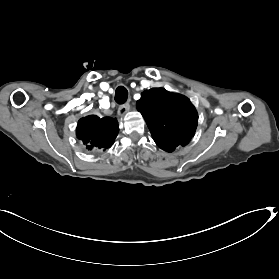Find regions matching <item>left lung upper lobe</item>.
Instances as JSON below:
<instances>
[{"label":"left lung upper lobe","mask_w":279,"mask_h":279,"mask_svg":"<svg viewBox=\"0 0 279 279\" xmlns=\"http://www.w3.org/2000/svg\"><path fill=\"white\" fill-rule=\"evenodd\" d=\"M137 110L143 115L155 143L172 152L185 146L194 136L198 114L190 101L164 88H153L141 94Z\"/></svg>","instance_id":"1"}]
</instances>
